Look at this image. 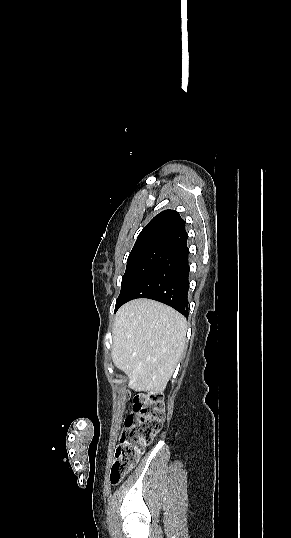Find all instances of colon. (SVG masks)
Listing matches in <instances>:
<instances>
[{
    "instance_id": "1",
    "label": "colon",
    "mask_w": 291,
    "mask_h": 538,
    "mask_svg": "<svg viewBox=\"0 0 291 538\" xmlns=\"http://www.w3.org/2000/svg\"><path fill=\"white\" fill-rule=\"evenodd\" d=\"M165 418L161 393L139 394L124 421L109 480L116 485L135 466L143 450L160 432Z\"/></svg>"
}]
</instances>
